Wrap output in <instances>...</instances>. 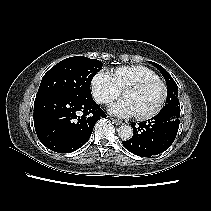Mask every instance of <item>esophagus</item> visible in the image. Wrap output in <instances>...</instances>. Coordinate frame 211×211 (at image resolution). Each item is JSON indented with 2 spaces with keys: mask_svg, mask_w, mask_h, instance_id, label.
<instances>
[{
  "mask_svg": "<svg viewBox=\"0 0 211 211\" xmlns=\"http://www.w3.org/2000/svg\"><path fill=\"white\" fill-rule=\"evenodd\" d=\"M112 121H113V123H115L116 125H122L123 124V122L122 121H119V120H117V119H111Z\"/></svg>",
  "mask_w": 211,
  "mask_h": 211,
  "instance_id": "obj_1",
  "label": "esophagus"
}]
</instances>
